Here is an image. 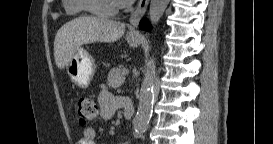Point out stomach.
<instances>
[{
    "label": "stomach",
    "instance_id": "0dacf381",
    "mask_svg": "<svg viewBox=\"0 0 273 144\" xmlns=\"http://www.w3.org/2000/svg\"><path fill=\"white\" fill-rule=\"evenodd\" d=\"M126 40L131 47H137L140 44L139 37H127ZM66 68L71 81L81 88L88 87L96 71L95 60L82 47L74 52Z\"/></svg>",
    "mask_w": 273,
    "mask_h": 144
}]
</instances>
